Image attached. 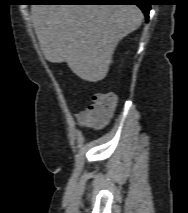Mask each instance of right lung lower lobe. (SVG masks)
Here are the masks:
<instances>
[{
  "label": "right lung lower lobe",
  "mask_w": 188,
  "mask_h": 213,
  "mask_svg": "<svg viewBox=\"0 0 188 213\" xmlns=\"http://www.w3.org/2000/svg\"><path fill=\"white\" fill-rule=\"evenodd\" d=\"M39 3H62V4H136L145 14L146 19L149 18L151 3L149 0H45Z\"/></svg>",
  "instance_id": "98d812e1"
}]
</instances>
